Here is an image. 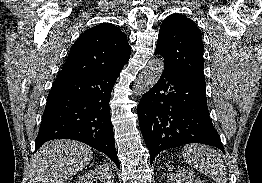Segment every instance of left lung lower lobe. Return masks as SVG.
<instances>
[{
	"label": "left lung lower lobe",
	"instance_id": "obj_1",
	"mask_svg": "<svg viewBox=\"0 0 262 183\" xmlns=\"http://www.w3.org/2000/svg\"><path fill=\"white\" fill-rule=\"evenodd\" d=\"M205 88L201 81L164 65L162 76L137 108L151 164L161 151L187 143H202L224 152L209 117Z\"/></svg>",
	"mask_w": 262,
	"mask_h": 183
}]
</instances>
